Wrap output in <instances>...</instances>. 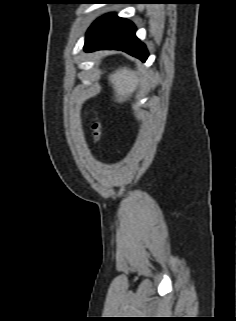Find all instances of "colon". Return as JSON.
<instances>
[{
    "label": "colon",
    "mask_w": 236,
    "mask_h": 321,
    "mask_svg": "<svg viewBox=\"0 0 236 321\" xmlns=\"http://www.w3.org/2000/svg\"><path fill=\"white\" fill-rule=\"evenodd\" d=\"M93 129V140L94 143L97 145L101 138H102V125L98 120H95L92 125Z\"/></svg>",
    "instance_id": "colon-1"
}]
</instances>
